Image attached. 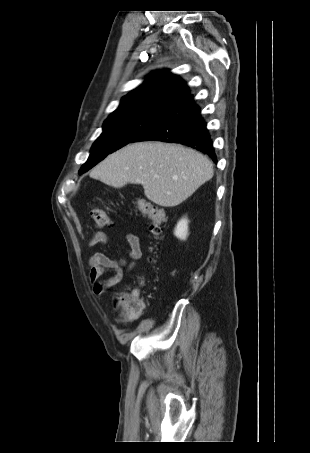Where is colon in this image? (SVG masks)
Segmentation results:
<instances>
[{"label": "colon", "instance_id": "colon-1", "mask_svg": "<svg viewBox=\"0 0 310 453\" xmlns=\"http://www.w3.org/2000/svg\"><path fill=\"white\" fill-rule=\"evenodd\" d=\"M136 211L147 218L149 221V230L154 238H160L162 235V226L165 222L164 212L155 204L138 198L135 200ZM90 216L94 224L103 228L109 224V217L106 210L98 205H93L90 210ZM114 307L121 314L128 317H137L145 310V303L140 298L137 290L130 292L116 293L114 296Z\"/></svg>", "mask_w": 310, "mask_h": 453}]
</instances>
